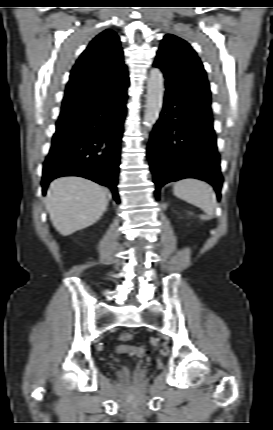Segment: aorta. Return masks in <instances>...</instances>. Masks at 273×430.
<instances>
[{
	"label": "aorta",
	"mask_w": 273,
	"mask_h": 430,
	"mask_svg": "<svg viewBox=\"0 0 273 430\" xmlns=\"http://www.w3.org/2000/svg\"><path fill=\"white\" fill-rule=\"evenodd\" d=\"M164 76L157 68H152L147 83L144 126L151 129L159 119L163 104Z\"/></svg>",
	"instance_id": "aorta-1"
}]
</instances>
